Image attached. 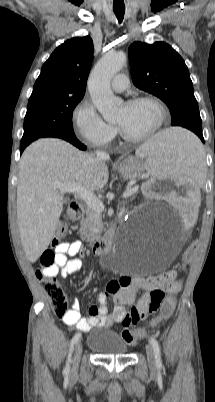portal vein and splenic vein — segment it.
<instances>
[{
  "label": "portal vein and splenic vein",
  "mask_w": 215,
  "mask_h": 402,
  "mask_svg": "<svg viewBox=\"0 0 215 402\" xmlns=\"http://www.w3.org/2000/svg\"><path fill=\"white\" fill-rule=\"evenodd\" d=\"M55 186L60 190L61 193H74L78 195L89 208L101 213L104 210V204L101 202L92 192L86 190L81 185L77 183H56ZM138 187L127 188L123 196L128 197L136 193Z\"/></svg>",
  "instance_id": "1"
}]
</instances>
